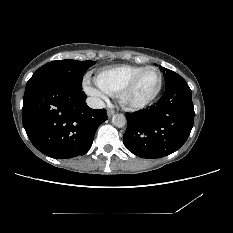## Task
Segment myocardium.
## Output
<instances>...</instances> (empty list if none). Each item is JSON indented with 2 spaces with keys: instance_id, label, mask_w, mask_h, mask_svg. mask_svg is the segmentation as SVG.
Listing matches in <instances>:
<instances>
[{
  "instance_id": "obj_1",
  "label": "myocardium",
  "mask_w": 233,
  "mask_h": 233,
  "mask_svg": "<svg viewBox=\"0 0 233 233\" xmlns=\"http://www.w3.org/2000/svg\"><path fill=\"white\" fill-rule=\"evenodd\" d=\"M148 70H155L159 75V84H158V87H157L156 91L149 98H147V99H145L143 101H140V102L130 101L129 100V94L134 89L135 85L137 84V82L139 81L141 76L145 72H147ZM162 85H163V76H162L161 71L155 66L144 67L139 72H137L133 77H131V79L121 89V91L119 93V96H118L120 104L123 107H125L127 109H130V110L142 109V108L148 106L149 104H151L158 97V95L161 92Z\"/></svg>"
}]
</instances>
